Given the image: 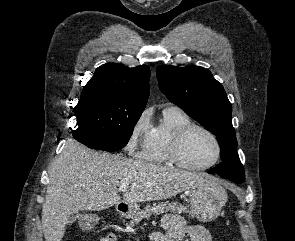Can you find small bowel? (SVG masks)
<instances>
[{"label":"small bowel","instance_id":"obj_1","mask_svg":"<svg viewBox=\"0 0 295 241\" xmlns=\"http://www.w3.org/2000/svg\"><path fill=\"white\" fill-rule=\"evenodd\" d=\"M162 225L166 233H151L153 241H211V236L206 228L202 226L188 225L184 219L177 214H166L162 218ZM100 241H117L115 234L110 233Z\"/></svg>","mask_w":295,"mask_h":241}]
</instances>
